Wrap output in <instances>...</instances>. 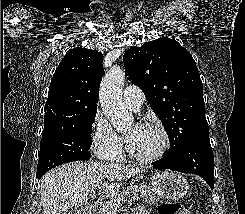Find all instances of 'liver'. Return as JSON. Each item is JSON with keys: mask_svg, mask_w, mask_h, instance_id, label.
<instances>
[{"mask_svg": "<svg viewBox=\"0 0 245 214\" xmlns=\"http://www.w3.org/2000/svg\"><path fill=\"white\" fill-rule=\"evenodd\" d=\"M141 172L139 168L96 161L64 164L48 171L41 180L43 214H62L67 209L80 207L87 203L92 190L102 188L106 195H112L123 178Z\"/></svg>", "mask_w": 245, "mask_h": 214, "instance_id": "obj_1", "label": "liver"}]
</instances>
